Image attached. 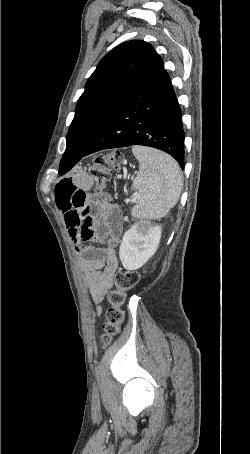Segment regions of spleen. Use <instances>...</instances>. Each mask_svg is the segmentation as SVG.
Masks as SVG:
<instances>
[{"mask_svg": "<svg viewBox=\"0 0 250 454\" xmlns=\"http://www.w3.org/2000/svg\"><path fill=\"white\" fill-rule=\"evenodd\" d=\"M133 155L140 163L132 188L137 190V204L131 215L140 219L159 220L179 200L183 176L178 163L158 150L133 146Z\"/></svg>", "mask_w": 250, "mask_h": 454, "instance_id": "3e777b00", "label": "spleen"}]
</instances>
